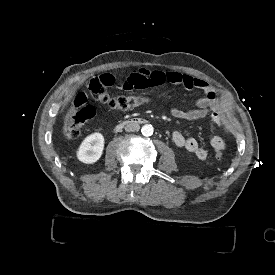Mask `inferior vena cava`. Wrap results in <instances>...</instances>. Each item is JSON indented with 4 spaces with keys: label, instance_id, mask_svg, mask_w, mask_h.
Segmentation results:
<instances>
[{
    "label": "inferior vena cava",
    "instance_id": "inferior-vena-cava-1",
    "mask_svg": "<svg viewBox=\"0 0 275 275\" xmlns=\"http://www.w3.org/2000/svg\"><path fill=\"white\" fill-rule=\"evenodd\" d=\"M140 126L136 123H129L125 126V131L127 132H136L138 131Z\"/></svg>",
    "mask_w": 275,
    "mask_h": 275
}]
</instances>
